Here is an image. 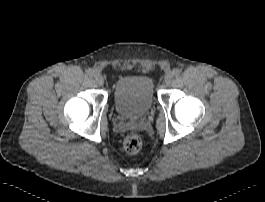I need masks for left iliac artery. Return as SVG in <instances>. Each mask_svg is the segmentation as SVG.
Segmentation results:
<instances>
[{
  "label": "left iliac artery",
  "mask_w": 265,
  "mask_h": 202,
  "mask_svg": "<svg viewBox=\"0 0 265 202\" xmlns=\"http://www.w3.org/2000/svg\"><path fill=\"white\" fill-rule=\"evenodd\" d=\"M173 73H174L175 76H178V75H180L181 70L178 69V68H175V69L173 70Z\"/></svg>",
  "instance_id": "obj_1"
}]
</instances>
